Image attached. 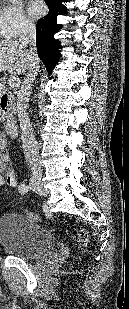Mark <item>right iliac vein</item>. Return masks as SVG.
I'll use <instances>...</instances> for the list:
<instances>
[{
	"label": "right iliac vein",
	"mask_w": 129,
	"mask_h": 309,
	"mask_svg": "<svg viewBox=\"0 0 129 309\" xmlns=\"http://www.w3.org/2000/svg\"><path fill=\"white\" fill-rule=\"evenodd\" d=\"M30 187L41 195H47L48 193L47 190L43 187L41 180L37 177L31 178Z\"/></svg>",
	"instance_id": "obj_1"
}]
</instances>
